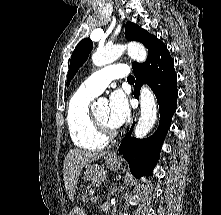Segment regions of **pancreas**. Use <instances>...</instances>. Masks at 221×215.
Returning a JSON list of instances; mask_svg holds the SVG:
<instances>
[{"instance_id": "cf45deb5", "label": "pancreas", "mask_w": 221, "mask_h": 215, "mask_svg": "<svg viewBox=\"0 0 221 215\" xmlns=\"http://www.w3.org/2000/svg\"><path fill=\"white\" fill-rule=\"evenodd\" d=\"M91 190H93V186H92V185H88V186L86 187V189L82 191L80 200H81V202H82L83 204L89 203V200H90L89 191H91Z\"/></svg>"}]
</instances>
